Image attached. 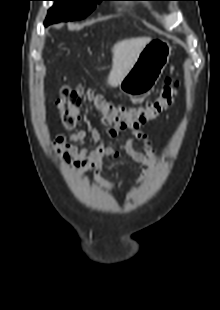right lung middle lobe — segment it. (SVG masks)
<instances>
[{
    "label": "right lung middle lobe",
    "mask_w": 220,
    "mask_h": 310,
    "mask_svg": "<svg viewBox=\"0 0 220 310\" xmlns=\"http://www.w3.org/2000/svg\"><path fill=\"white\" fill-rule=\"evenodd\" d=\"M54 6L49 9L45 25L60 21L83 19L95 8L94 2L101 0H53Z\"/></svg>",
    "instance_id": "obj_1"
}]
</instances>
